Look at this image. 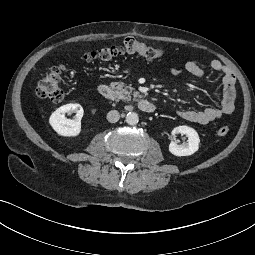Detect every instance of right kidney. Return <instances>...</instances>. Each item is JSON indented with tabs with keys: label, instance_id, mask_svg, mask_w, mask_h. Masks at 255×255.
I'll list each match as a JSON object with an SVG mask.
<instances>
[{
	"label": "right kidney",
	"instance_id": "1",
	"mask_svg": "<svg viewBox=\"0 0 255 255\" xmlns=\"http://www.w3.org/2000/svg\"><path fill=\"white\" fill-rule=\"evenodd\" d=\"M70 111H75V119H67L65 114ZM84 110L80 104L70 103L56 109L49 118V123L52 128L61 136L74 137L81 132V119Z\"/></svg>",
	"mask_w": 255,
	"mask_h": 255
}]
</instances>
